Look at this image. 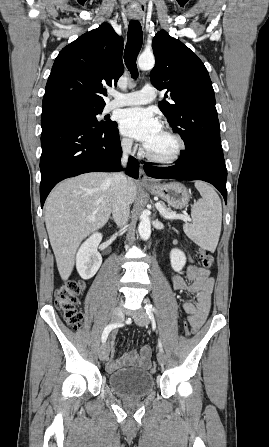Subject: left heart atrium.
<instances>
[{"label":"left heart atrium","instance_id":"left-heart-atrium-1","mask_svg":"<svg viewBox=\"0 0 269 447\" xmlns=\"http://www.w3.org/2000/svg\"><path fill=\"white\" fill-rule=\"evenodd\" d=\"M121 132L145 145L161 130L162 123L156 113L150 109L130 108L121 112Z\"/></svg>","mask_w":269,"mask_h":447}]
</instances>
